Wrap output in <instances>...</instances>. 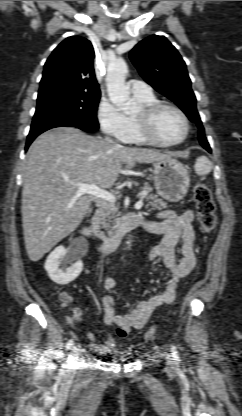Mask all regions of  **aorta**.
<instances>
[{"label": "aorta", "mask_w": 242, "mask_h": 416, "mask_svg": "<svg viewBox=\"0 0 242 416\" xmlns=\"http://www.w3.org/2000/svg\"><path fill=\"white\" fill-rule=\"evenodd\" d=\"M128 66L119 58L109 62L106 75L107 91L110 101L126 114L136 112L137 106L130 98L129 87L125 84Z\"/></svg>", "instance_id": "1"}]
</instances>
